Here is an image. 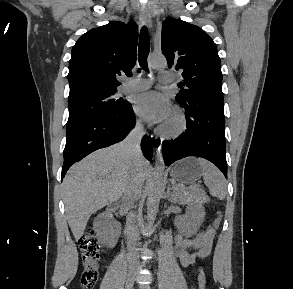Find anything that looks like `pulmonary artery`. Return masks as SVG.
Returning <instances> with one entry per match:
<instances>
[{
    "label": "pulmonary artery",
    "mask_w": 293,
    "mask_h": 289,
    "mask_svg": "<svg viewBox=\"0 0 293 289\" xmlns=\"http://www.w3.org/2000/svg\"><path fill=\"white\" fill-rule=\"evenodd\" d=\"M159 82L169 83L172 81V73L169 71H161L159 73ZM152 84L151 79L147 78H135L128 80L124 85V92H137L148 89Z\"/></svg>",
    "instance_id": "e3ab8cb5"
}]
</instances>
